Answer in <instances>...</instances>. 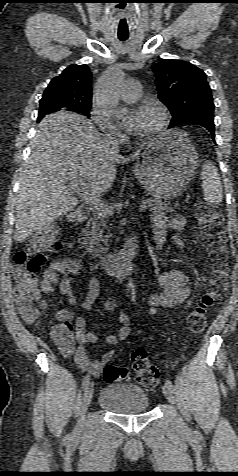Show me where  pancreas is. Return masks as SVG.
<instances>
[{
    "label": "pancreas",
    "instance_id": "cf45deb5",
    "mask_svg": "<svg viewBox=\"0 0 238 476\" xmlns=\"http://www.w3.org/2000/svg\"><path fill=\"white\" fill-rule=\"evenodd\" d=\"M147 201L149 203L150 211L154 214H163L173 211L172 208H170V203L167 201L155 199H148ZM106 220L107 216L100 215L98 212L94 213L87 222L86 229L83 230V244L86 250L97 257H101L109 249L108 238L110 235H104V231L107 228ZM101 242H103V245Z\"/></svg>",
    "mask_w": 238,
    "mask_h": 476
}]
</instances>
